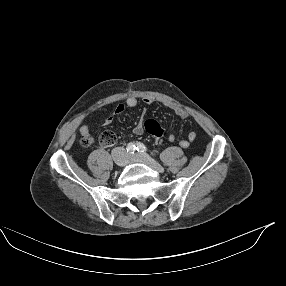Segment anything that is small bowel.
Here are the masks:
<instances>
[{
    "instance_id": "1",
    "label": "small bowel",
    "mask_w": 286,
    "mask_h": 286,
    "mask_svg": "<svg viewBox=\"0 0 286 286\" xmlns=\"http://www.w3.org/2000/svg\"><path fill=\"white\" fill-rule=\"evenodd\" d=\"M143 102L145 104H152L154 102V99L151 97H146L143 99ZM138 105V99L134 96H130L126 99L125 103H120L116 106L114 112L112 115H110L109 117H107L104 121L105 125H109L113 122L114 118L120 114H122L125 110V108H135ZM172 110L175 112V114L181 118V119H185L189 116V113L178 106H173ZM145 117L141 116V118L139 119V121L136 123V125L133 128V133L137 136H140L144 133L145 131ZM80 133L82 135V137L84 139H86L89 143H93L94 142V138L92 137L90 130L88 128L87 125H82L80 127ZM196 132L191 131L188 133L187 138L186 139H182L179 141V145L182 148H188L190 146V144L196 139ZM176 139V131H172L169 135H168V140L170 142L175 141Z\"/></svg>"
}]
</instances>
